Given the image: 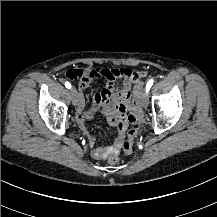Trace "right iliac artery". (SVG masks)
I'll return each instance as SVG.
<instances>
[{
  "label": "right iliac artery",
  "mask_w": 217,
  "mask_h": 217,
  "mask_svg": "<svg viewBox=\"0 0 217 217\" xmlns=\"http://www.w3.org/2000/svg\"><path fill=\"white\" fill-rule=\"evenodd\" d=\"M65 86L66 88L70 89L71 88V84L69 82H65Z\"/></svg>",
  "instance_id": "right-iliac-artery-1"
}]
</instances>
